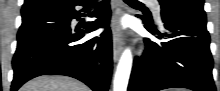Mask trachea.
I'll use <instances>...</instances> for the list:
<instances>
[{
	"label": "trachea",
	"instance_id": "1",
	"mask_svg": "<svg viewBox=\"0 0 220 91\" xmlns=\"http://www.w3.org/2000/svg\"><path fill=\"white\" fill-rule=\"evenodd\" d=\"M126 3L134 6L144 7V5L137 0H125Z\"/></svg>",
	"mask_w": 220,
	"mask_h": 91
}]
</instances>
